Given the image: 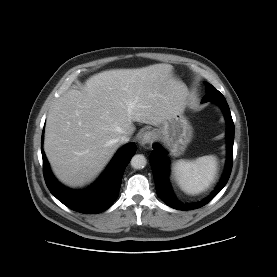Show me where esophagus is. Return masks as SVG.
Here are the masks:
<instances>
[{"instance_id": "obj_1", "label": "esophagus", "mask_w": 277, "mask_h": 277, "mask_svg": "<svg viewBox=\"0 0 277 277\" xmlns=\"http://www.w3.org/2000/svg\"><path fill=\"white\" fill-rule=\"evenodd\" d=\"M153 141V134L149 131L143 132L138 138V142L141 146L148 145Z\"/></svg>"}]
</instances>
